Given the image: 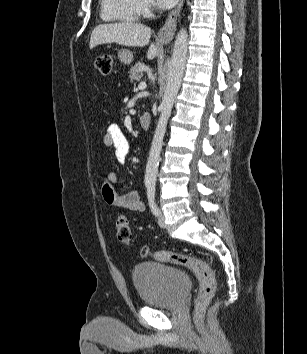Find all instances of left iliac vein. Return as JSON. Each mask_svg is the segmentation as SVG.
I'll return each mask as SVG.
<instances>
[{
    "mask_svg": "<svg viewBox=\"0 0 307 354\" xmlns=\"http://www.w3.org/2000/svg\"><path fill=\"white\" fill-rule=\"evenodd\" d=\"M158 224L162 228L166 227L165 222H164V215L161 211H159V214H158Z\"/></svg>",
    "mask_w": 307,
    "mask_h": 354,
    "instance_id": "left-iliac-vein-1",
    "label": "left iliac vein"
}]
</instances>
